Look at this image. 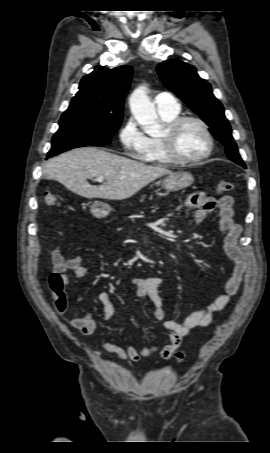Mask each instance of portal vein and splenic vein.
<instances>
[{"label":"portal vein and splenic vein","instance_id":"18ae733b","mask_svg":"<svg viewBox=\"0 0 270 453\" xmlns=\"http://www.w3.org/2000/svg\"><path fill=\"white\" fill-rule=\"evenodd\" d=\"M104 178L103 177H96L95 181L97 182H103Z\"/></svg>","mask_w":270,"mask_h":453}]
</instances>
